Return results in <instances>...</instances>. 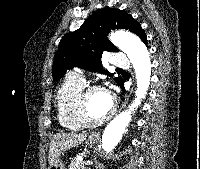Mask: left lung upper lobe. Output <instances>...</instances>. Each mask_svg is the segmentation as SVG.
<instances>
[{
    "label": "left lung upper lobe",
    "instance_id": "5c2ea615",
    "mask_svg": "<svg viewBox=\"0 0 200 169\" xmlns=\"http://www.w3.org/2000/svg\"><path fill=\"white\" fill-rule=\"evenodd\" d=\"M119 28L135 33L142 41L147 39L140 23L127 12L115 8L97 10L78 30L62 37L54 57L53 80H59L73 67L112 76L103 70L101 56L104 51H118L108 40L107 33ZM115 80L118 84L123 81L121 77Z\"/></svg>",
    "mask_w": 200,
    "mask_h": 169
}]
</instances>
